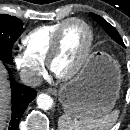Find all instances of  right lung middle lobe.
<instances>
[{
  "label": "right lung middle lobe",
  "mask_w": 130,
  "mask_h": 130,
  "mask_svg": "<svg viewBox=\"0 0 130 130\" xmlns=\"http://www.w3.org/2000/svg\"><path fill=\"white\" fill-rule=\"evenodd\" d=\"M24 28L21 20L0 14V60L12 64V47Z\"/></svg>",
  "instance_id": "dd1d6c3e"
}]
</instances>
